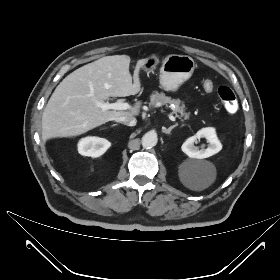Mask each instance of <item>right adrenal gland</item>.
I'll use <instances>...</instances> for the list:
<instances>
[{"mask_svg":"<svg viewBox=\"0 0 280 280\" xmlns=\"http://www.w3.org/2000/svg\"><path fill=\"white\" fill-rule=\"evenodd\" d=\"M115 126H117V124H113L111 127H115Z\"/></svg>","mask_w":280,"mask_h":280,"instance_id":"2a0ac1e0","label":"right adrenal gland"}]
</instances>
